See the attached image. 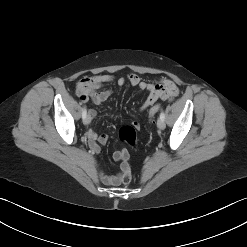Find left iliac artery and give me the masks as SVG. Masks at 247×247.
<instances>
[{"label": "left iliac artery", "instance_id": "44dca946", "mask_svg": "<svg viewBox=\"0 0 247 247\" xmlns=\"http://www.w3.org/2000/svg\"><path fill=\"white\" fill-rule=\"evenodd\" d=\"M160 118L163 119V120L165 119L164 111H162V112L160 113Z\"/></svg>", "mask_w": 247, "mask_h": 247}]
</instances>
